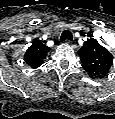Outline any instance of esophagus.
Here are the masks:
<instances>
[{
	"label": "esophagus",
	"mask_w": 115,
	"mask_h": 119,
	"mask_svg": "<svg viewBox=\"0 0 115 119\" xmlns=\"http://www.w3.org/2000/svg\"><path fill=\"white\" fill-rule=\"evenodd\" d=\"M65 42H66L67 44H71V43H72L71 40H66Z\"/></svg>",
	"instance_id": "esophagus-1"
}]
</instances>
